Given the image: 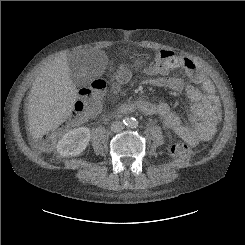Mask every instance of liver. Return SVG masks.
<instances>
[{"instance_id":"6515ba94","label":"liver","mask_w":245,"mask_h":245,"mask_svg":"<svg viewBox=\"0 0 245 245\" xmlns=\"http://www.w3.org/2000/svg\"><path fill=\"white\" fill-rule=\"evenodd\" d=\"M67 56L55 58L36 77L28 99L29 131L34 139L63 124L72 113L77 89Z\"/></svg>"}]
</instances>
